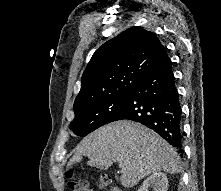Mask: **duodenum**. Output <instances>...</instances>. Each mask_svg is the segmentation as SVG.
Returning <instances> with one entry per match:
<instances>
[{
    "instance_id": "obj_1",
    "label": "duodenum",
    "mask_w": 221,
    "mask_h": 191,
    "mask_svg": "<svg viewBox=\"0 0 221 191\" xmlns=\"http://www.w3.org/2000/svg\"><path fill=\"white\" fill-rule=\"evenodd\" d=\"M113 191H120V189H118V188H114V190Z\"/></svg>"
}]
</instances>
